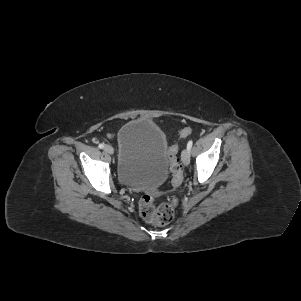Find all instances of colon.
Masks as SVG:
<instances>
[{
  "mask_svg": "<svg viewBox=\"0 0 301 301\" xmlns=\"http://www.w3.org/2000/svg\"><path fill=\"white\" fill-rule=\"evenodd\" d=\"M191 133L192 129L190 127H185L180 131V138H186L190 136ZM178 152V144L172 145L168 150L174 186H179L183 180V168L180 163ZM177 204L178 196L176 194L170 195L164 203L158 206H155L154 200L150 195H144L139 201V212L141 217L147 222L157 225H166L172 221Z\"/></svg>",
  "mask_w": 301,
  "mask_h": 301,
  "instance_id": "5ec220e1",
  "label": "colon"
}]
</instances>
